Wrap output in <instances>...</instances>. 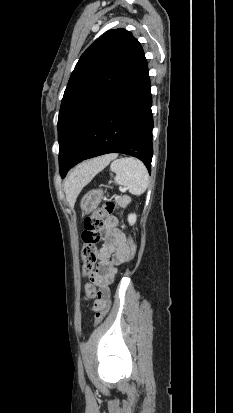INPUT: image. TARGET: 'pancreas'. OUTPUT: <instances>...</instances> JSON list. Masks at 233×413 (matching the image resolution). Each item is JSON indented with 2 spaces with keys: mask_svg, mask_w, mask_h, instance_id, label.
I'll return each instance as SVG.
<instances>
[{
  "mask_svg": "<svg viewBox=\"0 0 233 413\" xmlns=\"http://www.w3.org/2000/svg\"><path fill=\"white\" fill-rule=\"evenodd\" d=\"M129 198L127 196H120L116 199V203L120 206V207H125L128 203H129Z\"/></svg>",
  "mask_w": 233,
  "mask_h": 413,
  "instance_id": "pancreas-1",
  "label": "pancreas"
}]
</instances>
